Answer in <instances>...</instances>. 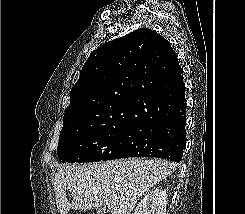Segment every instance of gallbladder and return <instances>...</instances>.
<instances>
[{
	"label": "gallbladder",
	"instance_id": "bac80fb5",
	"mask_svg": "<svg viewBox=\"0 0 245 214\" xmlns=\"http://www.w3.org/2000/svg\"><path fill=\"white\" fill-rule=\"evenodd\" d=\"M108 209L106 207H102L96 211V214H107Z\"/></svg>",
	"mask_w": 245,
	"mask_h": 214
}]
</instances>
